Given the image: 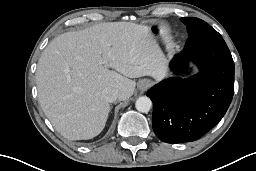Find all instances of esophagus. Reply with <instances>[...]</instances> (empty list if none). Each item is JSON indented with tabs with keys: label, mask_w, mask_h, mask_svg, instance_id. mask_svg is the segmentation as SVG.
<instances>
[{
	"label": "esophagus",
	"mask_w": 256,
	"mask_h": 171,
	"mask_svg": "<svg viewBox=\"0 0 256 171\" xmlns=\"http://www.w3.org/2000/svg\"><path fill=\"white\" fill-rule=\"evenodd\" d=\"M149 86H150L149 82L144 81V82H142L140 88H141L142 90H146Z\"/></svg>",
	"instance_id": "1"
}]
</instances>
